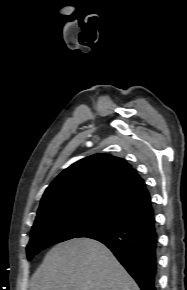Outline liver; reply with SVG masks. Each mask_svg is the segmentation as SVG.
I'll use <instances>...</instances> for the list:
<instances>
[{"instance_id":"1","label":"liver","mask_w":187,"mask_h":290,"mask_svg":"<svg viewBox=\"0 0 187 290\" xmlns=\"http://www.w3.org/2000/svg\"><path fill=\"white\" fill-rule=\"evenodd\" d=\"M30 290H140L99 241L75 238L54 246L34 273Z\"/></svg>"}]
</instances>
